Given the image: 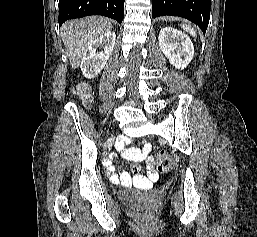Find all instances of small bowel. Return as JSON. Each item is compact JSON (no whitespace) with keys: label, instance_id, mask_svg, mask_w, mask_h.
Wrapping results in <instances>:
<instances>
[{"label":"small bowel","instance_id":"c3829d8e","mask_svg":"<svg viewBox=\"0 0 257 237\" xmlns=\"http://www.w3.org/2000/svg\"><path fill=\"white\" fill-rule=\"evenodd\" d=\"M123 154L134 160H143L147 154V147L145 148L144 151L131 149V150H128L127 152H124ZM147 168H148V171L146 175H138L134 178L126 171H122L119 174L114 173V167L110 164L107 165L106 172H107V175L116 183H120L122 185H128L132 181H134L139 185L147 186L152 181L156 180L158 177L157 173L154 170V161L152 160V158H148Z\"/></svg>","mask_w":257,"mask_h":237}]
</instances>
